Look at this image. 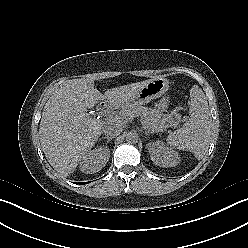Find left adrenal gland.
Segmentation results:
<instances>
[{
	"instance_id": "1",
	"label": "left adrenal gland",
	"mask_w": 248,
	"mask_h": 248,
	"mask_svg": "<svg viewBox=\"0 0 248 248\" xmlns=\"http://www.w3.org/2000/svg\"><path fill=\"white\" fill-rule=\"evenodd\" d=\"M152 133H153L152 131L150 132L149 130H145V135H146V136H148V135H150V134H152Z\"/></svg>"
}]
</instances>
